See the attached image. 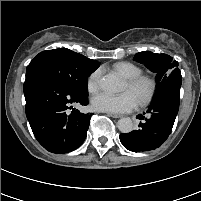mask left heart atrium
I'll return each mask as SVG.
<instances>
[{
	"instance_id": "39dd6f15",
	"label": "left heart atrium",
	"mask_w": 201,
	"mask_h": 201,
	"mask_svg": "<svg viewBox=\"0 0 201 201\" xmlns=\"http://www.w3.org/2000/svg\"><path fill=\"white\" fill-rule=\"evenodd\" d=\"M137 99L131 91L121 94L100 93L92 99V107L100 112L125 113L133 110Z\"/></svg>"
}]
</instances>
